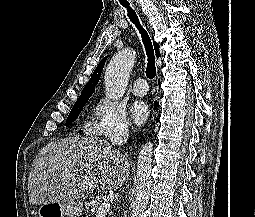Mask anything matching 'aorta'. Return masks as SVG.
<instances>
[{
  "label": "aorta",
  "mask_w": 255,
  "mask_h": 217,
  "mask_svg": "<svg viewBox=\"0 0 255 217\" xmlns=\"http://www.w3.org/2000/svg\"><path fill=\"white\" fill-rule=\"evenodd\" d=\"M135 58L136 53L130 48H125L112 57L104 77L105 94L108 98L117 100L124 95ZM152 155L153 144L146 143L138 155L136 196L131 217H143L149 202L152 189Z\"/></svg>",
  "instance_id": "aorta-1"
}]
</instances>
